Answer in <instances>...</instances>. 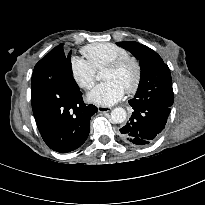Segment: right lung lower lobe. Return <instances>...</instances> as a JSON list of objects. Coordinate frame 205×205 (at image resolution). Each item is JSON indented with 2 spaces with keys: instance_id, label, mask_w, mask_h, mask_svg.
Masks as SVG:
<instances>
[{
  "instance_id": "1",
  "label": "right lung lower lobe",
  "mask_w": 205,
  "mask_h": 205,
  "mask_svg": "<svg viewBox=\"0 0 205 205\" xmlns=\"http://www.w3.org/2000/svg\"><path fill=\"white\" fill-rule=\"evenodd\" d=\"M31 103L38 130L54 151L67 153L87 139L94 105H86L72 76L71 52L55 47L35 66L32 74Z\"/></svg>"
}]
</instances>
